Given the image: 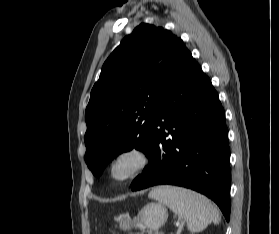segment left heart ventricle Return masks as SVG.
Wrapping results in <instances>:
<instances>
[{
	"mask_svg": "<svg viewBox=\"0 0 279 234\" xmlns=\"http://www.w3.org/2000/svg\"><path fill=\"white\" fill-rule=\"evenodd\" d=\"M127 168H128L127 163L122 164L117 170L118 174H123L127 170Z\"/></svg>",
	"mask_w": 279,
	"mask_h": 234,
	"instance_id": "obj_1",
	"label": "left heart ventricle"
}]
</instances>
